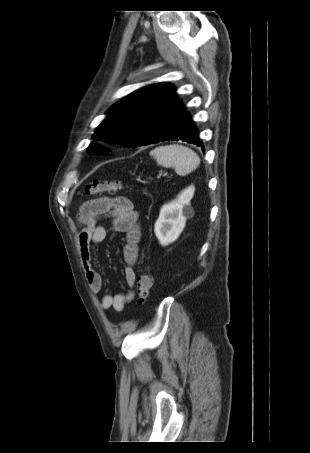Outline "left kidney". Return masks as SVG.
<instances>
[{"instance_id": "left-kidney-1", "label": "left kidney", "mask_w": 310, "mask_h": 453, "mask_svg": "<svg viewBox=\"0 0 310 453\" xmlns=\"http://www.w3.org/2000/svg\"><path fill=\"white\" fill-rule=\"evenodd\" d=\"M194 191L195 187L189 186L178 195L176 200L161 208L154 232L162 246L176 241L185 227L187 218L194 216V210L190 206Z\"/></svg>"}]
</instances>
